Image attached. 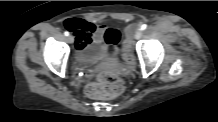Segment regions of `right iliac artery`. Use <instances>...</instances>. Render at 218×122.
Masks as SVG:
<instances>
[{
    "label": "right iliac artery",
    "mask_w": 218,
    "mask_h": 122,
    "mask_svg": "<svg viewBox=\"0 0 218 122\" xmlns=\"http://www.w3.org/2000/svg\"><path fill=\"white\" fill-rule=\"evenodd\" d=\"M64 35H65V36H68V35H69V32H68V31H65V32H64Z\"/></svg>",
    "instance_id": "82829eb1"
}]
</instances>
